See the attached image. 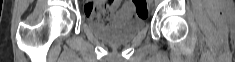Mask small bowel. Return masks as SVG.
Returning a JSON list of instances; mask_svg holds the SVG:
<instances>
[{
	"instance_id": "1",
	"label": "small bowel",
	"mask_w": 235,
	"mask_h": 62,
	"mask_svg": "<svg viewBox=\"0 0 235 62\" xmlns=\"http://www.w3.org/2000/svg\"><path fill=\"white\" fill-rule=\"evenodd\" d=\"M107 6L109 7V9L111 10L112 14L118 9L119 5H120V1L119 0H114V1H109L106 3ZM93 4H88L86 7V10L88 7L92 6ZM132 9V5L130 2L126 3L124 6V10L125 11H129ZM89 17V16H88ZM90 18V17H89ZM93 19V18H91ZM95 20V19H94Z\"/></svg>"
}]
</instances>
